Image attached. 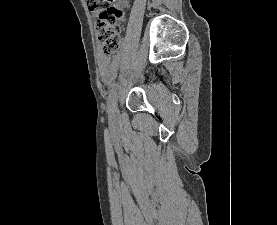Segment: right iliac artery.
Wrapping results in <instances>:
<instances>
[{"label":"right iliac artery","mask_w":277,"mask_h":225,"mask_svg":"<svg viewBox=\"0 0 277 225\" xmlns=\"http://www.w3.org/2000/svg\"><path fill=\"white\" fill-rule=\"evenodd\" d=\"M119 88H120V86L118 84L113 86L112 89H111V92L109 94L107 104H108V115H109V118L111 120L114 119V115H113L114 114L113 113L114 101H115V97L117 95V92H118Z\"/></svg>","instance_id":"1"}]
</instances>
